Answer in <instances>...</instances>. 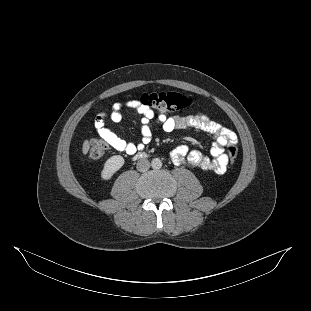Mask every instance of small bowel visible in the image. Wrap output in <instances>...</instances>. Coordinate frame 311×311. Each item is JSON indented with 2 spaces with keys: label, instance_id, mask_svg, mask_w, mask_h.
Instances as JSON below:
<instances>
[{
  "label": "small bowel",
  "instance_id": "obj_1",
  "mask_svg": "<svg viewBox=\"0 0 311 311\" xmlns=\"http://www.w3.org/2000/svg\"><path fill=\"white\" fill-rule=\"evenodd\" d=\"M130 109L141 115V143L134 144L127 141L104 125L105 115L99 113L95 116L93 125L100 137L113 149L135 154L152 140L151 123H157L163 132L170 133L181 128H195L210 134L214 143L211 148V157H206L196 150H190L186 145L177 146L171 153L174 162L186 164L193 168L213 171L217 174H223L228 167V156L225 154V148L237 143L236 134L213 120L208 114L197 112L194 115L185 117L166 116L164 114L156 115L155 112L140 100L132 99L126 102H116L112 106L110 119L114 123L122 120V110Z\"/></svg>",
  "mask_w": 311,
  "mask_h": 311
}]
</instances>
